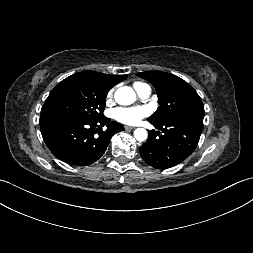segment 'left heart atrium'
Returning a JSON list of instances; mask_svg holds the SVG:
<instances>
[{
	"label": "left heart atrium",
	"mask_w": 253,
	"mask_h": 253,
	"mask_svg": "<svg viewBox=\"0 0 253 253\" xmlns=\"http://www.w3.org/2000/svg\"><path fill=\"white\" fill-rule=\"evenodd\" d=\"M148 109L144 106L119 107L113 111L115 120L124 124H136L148 115Z\"/></svg>",
	"instance_id": "left-heart-atrium-1"
}]
</instances>
